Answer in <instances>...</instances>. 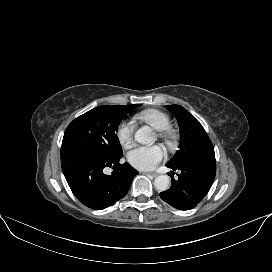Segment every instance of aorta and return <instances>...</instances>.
<instances>
[{
  "label": "aorta",
  "instance_id": "1",
  "mask_svg": "<svg viewBox=\"0 0 272 272\" xmlns=\"http://www.w3.org/2000/svg\"><path fill=\"white\" fill-rule=\"evenodd\" d=\"M134 139L141 144L150 145L156 140L155 134L148 126L139 128L134 135ZM170 178L167 175H159L154 180V186L159 191H166L170 187Z\"/></svg>",
  "mask_w": 272,
  "mask_h": 272
}]
</instances>
